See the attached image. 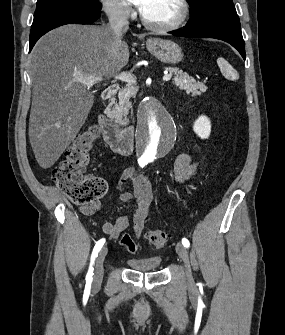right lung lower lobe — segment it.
I'll list each match as a JSON object with an SVG mask.
<instances>
[{"label": "right lung lower lobe", "mask_w": 285, "mask_h": 335, "mask_svg": "<svg viewBox=\"0 0 285 335\" xmlns=\"http://www.w3.org/2000/svg\"><path fill=\"white\" fill-rule=\"evenodd\" d=\"M99 17L100 12L73 7L56 8L34 16L29 39V52L37 40L50 30L72 23L90 24Z\"/></svg>", "instance_id": "obj_1"}]
</instances>
